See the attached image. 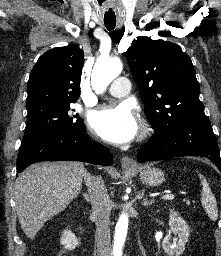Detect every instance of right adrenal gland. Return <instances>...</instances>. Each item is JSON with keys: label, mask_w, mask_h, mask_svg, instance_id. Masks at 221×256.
Returning a JSON list of instances; mask_svg holds the SVG:
<instances>
[{"label": "right adrenal gland", "mask_w": 221, "mask_h": 256, "mask_svg": "<svg viewBox=\"0 0 221 256\" xmlns=\"http://www.w3.org/2000/svg\"><path fill=\"white\" fill-rule=\"evenodd\" d=\"M83 196H84L86 201H90V197L87 193H83Z\"/></svg>", "instance_id": "right-adrenal-gland-1"}]
</instances>
